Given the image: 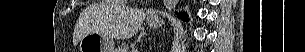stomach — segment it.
<instances>
[{
    "label": "stomach",
    "instance_id": "obj_1",
    "mask_svg": "<svg viewBox=\"0 0 305 52\" xmlns=\"http://www.w3.org/2000/svg\"><path fill=\"white\" fill-rule=\"evenodd\" d=\"M163 24V20L159 18L149 21V25L152 28L162 27ZM78 50L79 52H116L114 51L113 38L100 32L84 35L79 41Z\"/></svg>",
    "mask_w": 305,
    "mask_h": 52
}]
</instances>
